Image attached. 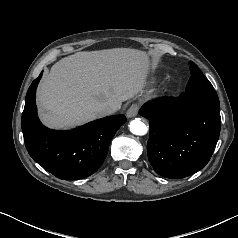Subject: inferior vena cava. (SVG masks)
Returning a JSON list of instances; mask_svg holds the SVG:
<instances>
[{
	"label": "inferior vena cava",
	"instance_id": "602c4592",
	"mask_svg": "<svg viewBox=\"0 0 238 238\" xmlns=\"http://www.w3.org/2000/svg\"><path fill=\"white\" fill-rule=\"evenodd\" d=\"M117 110V107L114 105H101L98 108V112L101 116H106L114 113Z\"/></svg>",
	"mask_w": 238,
	"mask_h": 238
}]
</instances>
